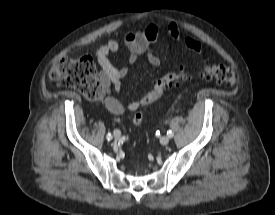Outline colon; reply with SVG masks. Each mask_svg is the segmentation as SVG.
I'll list each match as a JSON object with an SVG mask.
<instances>
[{"label": "colon", "mask_w": 275, "mask_h": 215, "mask_svg": "<svg viewBox=\"0 0 275 215\" xmlns=\"http://www.w3.org/2000/svg\"><path fill=\"white\" fill-rule=\"evenodd\" d=\"M51 78L62 86L78 90L89 100H98L103 96V88L96 76L95 65L88 54L77 58H59L51 68ZM194 77L205 80H215L219 84L233 87L236 84V75L232 69L219 64H207L196 73L180 69L178 72L168 73L158 79L153 90L144 96L133 116L135 125L143 120V109L160 99L164 92L177 87Z\"/></svg>", "instance_id": "colon-1"}]
</instances>
